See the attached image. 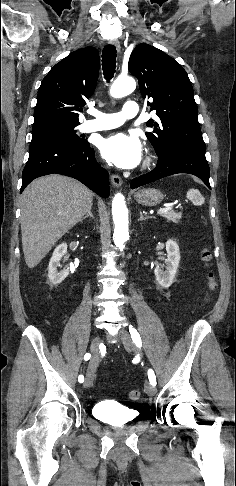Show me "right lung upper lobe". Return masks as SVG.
<instances>
[{"instance_id":"obj_1","label":"right lung upper lobe","mask_w":236,"mask_h":486,"mask_svg":"<svg viewBox=\"0 0 236 486\" xmlns=\"http://www.w3.org/2000/svg\"><path fill=\"white\" fill-rule=\"evenodd\" d=\"M99 55L86 47L70 53L43 79L37 95L34 124H79L78 111L96 87Z\"/></svg>"}]
</instances>
